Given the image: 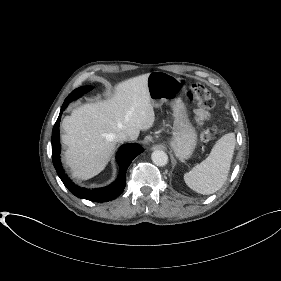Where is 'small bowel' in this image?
Here are the masks:
<instances>
[{
	"label": "small bowel",
	"instance_id": "1",
	"mask_svg": "<svg viewBox=\"0 0 281 281\" xmlns=\"http://www.w3.org/2000/svg\"><path fill=\"white\" fill-rule=\"evenodd\" d=\"M208 117L207 113L201 110L195 111V119L196 121L201 124L204 120H206Z\"/></svg>",
	"mask_w": 281,
	"mask_h": 281
}]
</instances>
